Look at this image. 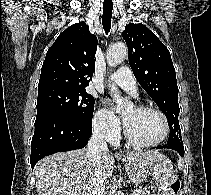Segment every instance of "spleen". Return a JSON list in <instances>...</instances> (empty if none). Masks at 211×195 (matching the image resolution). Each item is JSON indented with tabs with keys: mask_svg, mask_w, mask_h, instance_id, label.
Masks as SVG:
<instances>
[{
	"mask_svg": "<svg viewBox=\"0 0 211 195\" xmlns=\"http://www.w3.org/2000/svg\"><path fill=\"white\" fill-rule=\"evenodd\" d=\"M178 167H179L180 170H183L184 165H183L181 160L178 161Z\"/></svg>",
	"mask_w": 211,
	"mask_h": 195,
	"instance_id": "obj_1",
	"label": "spleen"
}]
</instances>
